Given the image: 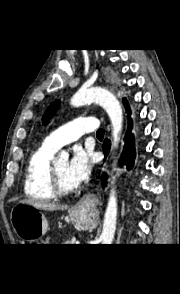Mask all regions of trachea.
I'll return each mask as SVG.
<instances>
[{
    "label": "trachea",
    "mask_w": 180,
    "mask_h": 294,
    "mask_svg": "<svg viewBox=\"0 0 180 294\" xmlns=\"http://www.w3.org/2000/svg\"><path fill=\"white\" fill-rule=\"evenodd\" d=\"M96 135H97V137H103L104 129H98Z\"/></svg>",
    "instance_id": "trachea-1"
}]
</instances>
